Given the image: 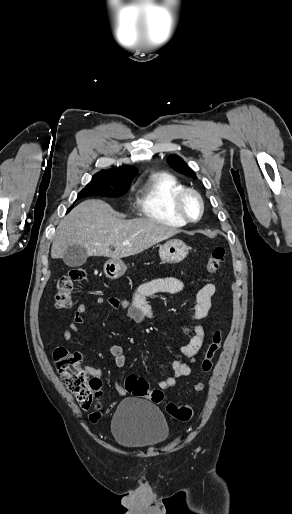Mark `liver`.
I'll return each instance as SVG.
<instances>
[{
	"label": "liver",
	"mask_w": 292,
	"mask_h": 514,
	"mask_svg": "<svg viewBox=\"0 0 292 514\" xmlns=\"http://www.w3.org/2000/svg\"><path fill=\"white\" fill-rule=\"evenodd\" d=\"M115 214L102 200L81 202L60 222L51 258H62L64 250L73 244L84 246L88 256L127 258L181 232L149 218L121 220Z\"/></svg>",
	"instance_id": "obj_1"
}]
</instances>
